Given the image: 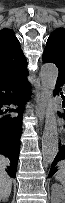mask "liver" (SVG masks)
Listing matches in <instances>:
<instances>
[{
  "label": "liver",
  "mask_w": 65,
  "mask_h": 203,
  "mask_svg": "<svg viewBox=\"0 0 65 203\" xmlns=\"http://www.w3.org/2000/svg\"><path fill=\"white\" fill-rule=\"evenodd\" d=\"M10 164L8 158L0 156V200H6L11 193L12 179L5 172V167Z\"/></svg>",
  "instance_id": "liver-1"
}]
</instances>
